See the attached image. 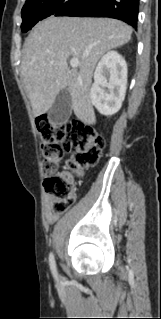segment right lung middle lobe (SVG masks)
Instances as JSON below:
<instances>
[{"label":"right lung middle lobe","mask_w":161,"mask_h":319,"mask_svg":"<svg viewBox=\"0 0 161 319\" xmlns=\"http://www.w3.org/2000/svg\"><path fill=\"white\" fill-rule=\"evenodd\" d=\"M86 0H26L22 8L23 32L30 30L38 21L50 16H66Z\"/></svg>","instance_id":"obj_1"}]
</instances>
